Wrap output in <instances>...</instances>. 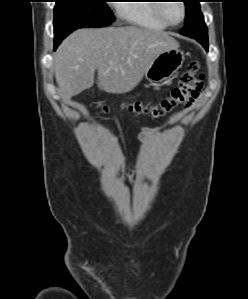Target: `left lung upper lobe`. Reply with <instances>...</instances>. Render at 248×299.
Returning a JSON list of instances; mask_svg holds the SVG:
<instances>
[{
  "label": "left lung upper lobe",
  "mask_w": 248,
  "mask_h": 299,
  "mask_svg": "<svg viewBox=\"0 0 248 299\" xmlns=\"http://www.w3.org/2000/svg\"><path fill=\"white\" fill-rule=\"evenodd\" d=\"M200 0H183L186 5L185 26L180 34L196 39L208 47L207 27L199 5Z\"/></svg>",
  "instance_id": "5c2ea615"
}]
</instances>
